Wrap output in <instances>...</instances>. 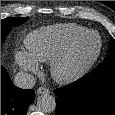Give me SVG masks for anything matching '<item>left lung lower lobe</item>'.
I'll return each instance as SVG.
<instances>
[{"label": "left lung lower lobe", "mask_w": 115, "mask_h": 115, "mask_svg": "<svg viewBox=\"0 0 115 115\" xmlns=\"http://www.w3.org/2000/svg\"><path fill=\"white\" fill-rule=\"evenodd\" d=\"M54 93L56 115H115V69L92 70Z\"/></svg>", "instance_id": "1"}]
</instances>
